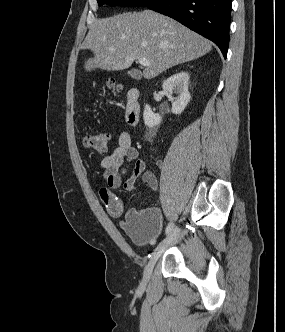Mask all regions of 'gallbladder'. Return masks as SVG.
Masks as SVG:
<instances>
[{
	"mask_svg": "<svg viewBox=\"0 0 285 332\" xmlns=\"http://www.w3.org/2000/svg\"><path fill=\"white\" fill-rule=\"evenodd\" d=\"M128 75L131 78L136 79V80H139L142 76L141 72L136 69H132V70L128 71Z\"/></svg>",
	"mask_w": 285,
	"mask_h": 332,
	"instance_id": "bac80fb5",
	"label": "gallbladder"
}]
</instances>
